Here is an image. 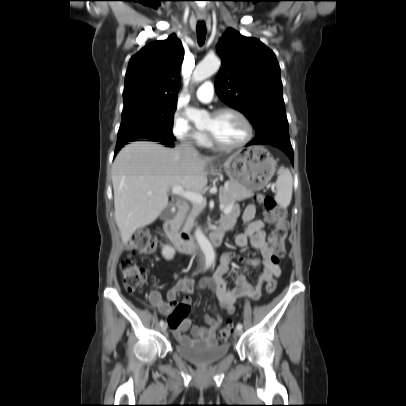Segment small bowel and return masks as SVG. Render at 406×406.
Masks as SVG:
<instances>
[{"label": "small bowel", "instance_id": "c3829d8e", "mask_svg": "<svg viewBox=\"0 0 406 406\" xmlns=\"http://www.w3.org/2000/svg\"><path fill=\"white\" fill-rule=\"evenodd\" d=\"M257 207L249 205L243 212L242 220L246 227L244 232L238 234L235 243L239 247L251 245L259 252L255 258H241L234 252L226 253L218 267L217 272L210 281L200 284V287L210 289L218 298L221 308L229 315L235 311V305L241 298H250L258 300L261 297L264 285L272 278L280 276V268L271 261L272 250L266 243V233L264 231V222L255 220ZM239 216V209L232 207L230 211L222 218L221 221L232 222L233 225ZM241 259L250 266H263L262 272L257 276L256 282L252 284L245 275H239L235 280V287L230 286L229 274L231 263L234 259ZM194 291L193 282L187 278H180L175 286L169 290L167 301H163L158 291H151L149 299L151 304L160 312L171 316L177 305V295L180 293L190 295ZM191 299L186 297L179 305L190 308ZM205 323L207 327L193 326L191 333L194 339L188 337L185 332L191 327V319L187 316L179 324L171 326L176 338L185 345L211 346L216 344V333L222 324V319L218 314L213 316L206 315Z\"/></svg>", "mask_w": 406, "mask_h": 406}]
</instances>
